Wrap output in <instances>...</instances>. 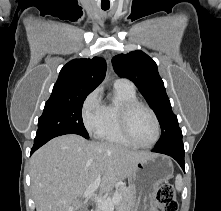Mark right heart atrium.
Wrapping results in <instances>:
<instances>
[{"label": "right heart atrium", "instance_id": "1", "mask_svg": "<svg viewBox=\"0 0 221 211\" xmlns=\"http://www.w3.org/2000/svg\"><path fill=\"white\" fill-rule=\"evenodd\" d=\"M81 118L84 127L90 134H98L105 122V105L101 91L95 89L84 99L81 106Z\"/></svg>", "mask_w": 221, "mask_h": 211}]
</instances>
